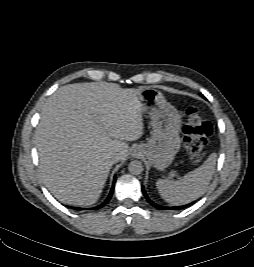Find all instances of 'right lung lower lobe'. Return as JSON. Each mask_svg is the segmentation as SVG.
I'll return each instance as SVG.
<instances>
[{
	"label": "right lung lower lobe",
	"instance_id": "obj_1",
	"mask_svg": "<svg viewBox=\"0 0 254 267\" xmlns=\"http://www.w3.org/2000/svg\"><path fill=\"white\" fill-rule=\"evenodd\" d=\"M115 182H116V176H114L113 185H112L111 191H110L107 199L101 205H99V206H97L95 208L87 209V210L99 209V208L103 207L104 205H106L110 201V199H111V197L113 195V192H114V183ZM72 208L75 209V210H83L82 208H77V207H72Z\"/></svg>",
	"mask_w": 254,
	"mask_h": 267
}]
</instances>
